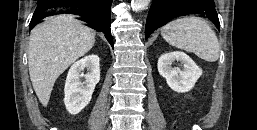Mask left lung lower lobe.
I'll use <instances>...</instances> for the list:
<instances>
[{
  "instance_id": "obj_1",
  "label": "left lung lower lobe",
  "mask_w": 257,
  "mask_h": 130,
  "mask_svg": "<svg viewBox=\"0 0 257 130\" xmlns=\"http://www.w3.org/2000/svg\"><path fill=\"white\" fill-rule=\"evenodd\" d=\"M190 14L208 18L220 29L213 0H154L146 21L145 38L174 18Z\"/></svg>"
}]
</instances>
